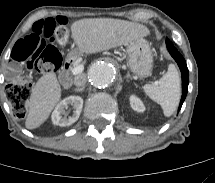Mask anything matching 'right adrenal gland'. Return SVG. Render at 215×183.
Segmentation results:
<instances>
[{
  "instance_id": "obj_1",
  "label": "right adrenal gland",
  "mask_w": 215,
  "mask_h": 183,
  "mask_svg": "<svg viewBox=\"0 0 215 183\" xmlns=\"http://www.w3.org/2000/svg\"><path fill=\"white\" fill-rule=\"evenodd\" d=\"M84 87H81V88H76V89H74V91H76V92H83L84 91Z\"/></svg>"
}]
</instances>
